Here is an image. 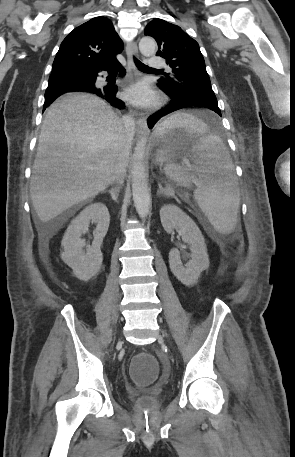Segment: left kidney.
Listing matches in <instances>:
<instances>
[{"label": "left kidney", "instance_id": "5707ae66", "mask_svg": "<svg viewBox=\"0 0 295 457\" xmlns=\"http://www.w3.org/2000/svg\"><path fill=\"white\" fill-rule=\"evenodd\" d=\"M160 219L167 233L178 229L182 240L190 245L192 260L187 267L183 266L177 249L170 251L169 265L172 273L182 284L193 286L198 282L201 272L209 267L204 237L196 223L176 205H164L160 210Z\"/></svg>", "mask_w": 295, "mask_h": 457}]
</instances>
